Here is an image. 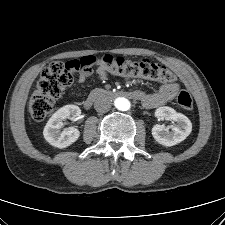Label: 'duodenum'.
I'll return each instance as SVG.
<instances>
[{
    "label": "duodenum",
    "instance_id": "1",
    "mask_svg": "<svg viewBox=\"0 0 225 225\" xmlns=\"http://www.w3.org/2000/svg\"><path fill=\"white\" fill-rule=\"evenodd\" d=\"M125 96L131 98H139L138 92H131V91H112V90H105V89H96L92 91L84 100L83 105L85 108H90L93 102L97 99H100L104 96Z\"/></svg>",
    "mask_w": 225,
    "mask_h": 225
}]
</instances>
